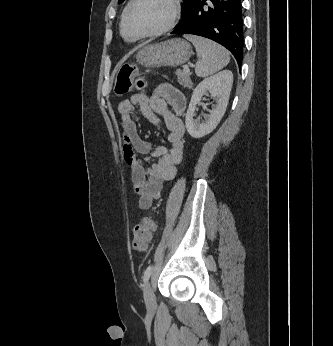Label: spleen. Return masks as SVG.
<instances>
[{"label":"spleen","instance_id":"3e777b00","mask_svg":"<svg viewBox=\"0 0 333 346\" xmlns=\"http://www.w3.org/2000/svg\"><path fill=\"white\" fill-rule=\"evenodd\" d=\"M185 38L191 41L196 48L198 60L195 73L198 77L212 75L229 63V53L221 45L195 35H187Z\"/></svg>","mask_w":333,"mask_h":346}]
</instances>
